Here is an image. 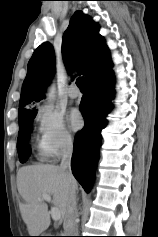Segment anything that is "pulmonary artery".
I'll return each mask as SVG.
<instances>
[{
    "mask_svg": "<svg viewBox=\"0 0 158 237\" xmlns=\"http://www.w3.org/2000/svg\"><path fill=\"white\" fill-rule=\"evenodd\" d=\"M67 95L72 99H76L80 96V93L78 91L74 90L73 88H70L67 91Z\"/></svg>",
    "mask_w": 158,
    "mask_h": 237,
    "instance_id": "obj_1",
    "label": "pulmonary artery"
}]
</instances>
